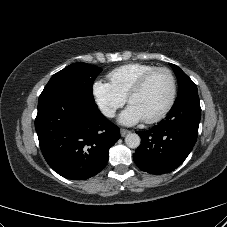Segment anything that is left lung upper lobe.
Wrapping results in <instances>:
<instances>
[{
    "label": "left lung upper lobe",
    "instance_id": "1",
    "mask_svg": "<svg viewBox=\"0 0 227 227\" xmlns=\"http://www.w3.org/2000/svg\"><path fill=\"white\" fill-rule=\"evenodd\" d=\"M170 66L173 68L174 73L176 74V77L178 79L179 91L177 99L187 93L197 92L195 83L178 66L171 63Z\"/></svg>",
    "mask_w": 227,
    "mask_h": 227
}]
</instances>
